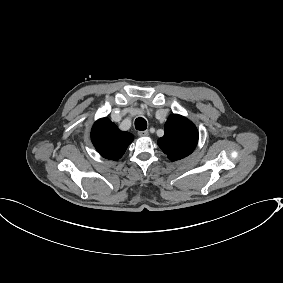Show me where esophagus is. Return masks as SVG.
I'll use <instances>...</instances> for the list:
<instances>
[{"label":"esophagus","instance_id":"obj_1","mask_svg":"<svg viewBox=\"0 0 283 283\" xmlns=\"http://www.w3.org/2000/svg\"><path fill=\"white\" fill-rule=\"evenodd\" d=\"M138 135H139L140 137L148 136V135H149V132H148L147 130H145V131H139V132H138Z\"/></svg>","mask_w":283,"mask_h":283}]
</instances>
